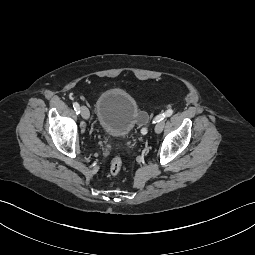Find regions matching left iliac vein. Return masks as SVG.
Returning a JSON list of instances; mask_svg holds the SVG:
<instances>
[{
  "label": "left iliac vein",
  "mask_w": 255,
  "mask_h": 255,
  "mask_svg": "<svg viewBox=\"0 0 255 255\" xmlns=\"http://www.w3.org/2000/svg\"><path fill=\"white\" fill-rule=\"evenodd\" d=\"M163 128H164V122H158L157 124H156V126H155V132L156 133H161L162 132V130H163Z\"/></svg>",
  "instance_id": "left-iliac-vein-1"
}]
</instances>
